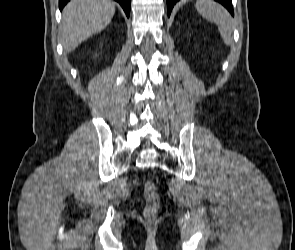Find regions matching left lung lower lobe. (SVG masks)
<instances>
[{"mask_svg":"<svg viewBox=\"0 0 295 250\" xmlns=\"http://www.w3.org/2000/svg\"><path fill=\"white\" fill-rule=\"evenodd\" d=\"M179 0H167V9H168V16H170L171 10L176 2ZM225 6L229 12L234 15L232 1L231 0H215Z\"/></svg>","mask_w":295,"mask_h":250,"instance_id":"0a47b994","label":"left lung lower lobe"}]
</instances>
